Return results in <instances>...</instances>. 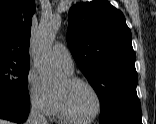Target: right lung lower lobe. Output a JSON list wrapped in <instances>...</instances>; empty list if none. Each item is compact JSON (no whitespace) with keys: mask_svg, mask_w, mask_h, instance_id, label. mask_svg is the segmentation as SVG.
<instances>
[{"mask_svg":"<svg viewBox=\"0 0 156 124\" xmlns=\"http://www.w3.org/2000/svg\"><path fill=\"white\" fill-rule=\"evenodd\" d=\"M30 100L6 96L0 93V118L17 123L24 122L29 114Z\"/></svg>","mask_w":156,"mask_h":124,"instance_id":"1","label":"right lung lower lobe"}]
</instances>
